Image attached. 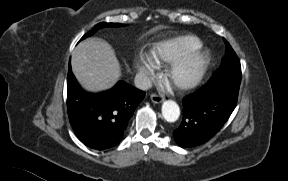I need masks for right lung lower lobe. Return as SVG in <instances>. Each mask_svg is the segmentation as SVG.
<instances>
[{
  "instance_id": "right-lung-lower-lobe-1",
  "label": "right lung lower lobe",
  "mask_w": 288,
  "mask_h": 181,
  "mask_svg": "<svg viewBox=\"0 0 288 181\" xmlns=\"http://www.w3.org/2000/svg\"><path fill=\"white\" fill-rule=\"evenodd\" d=\"M145 92L122 81L99 94L85 92L78 85L69 64L67 108L71 126L86 146L104 150L122 140L129 119Z\"/></svg>"
}]
</instances>
